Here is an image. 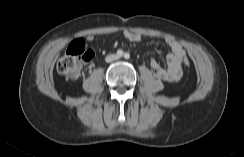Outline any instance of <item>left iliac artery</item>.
Wrapping results in <instances>:
<instances>
[{
    "instance_id": "obj_1",
    "label": "left iliac artery",
    "mask_w": 244,
    "mask_h": 157,
    "mask_svg": "<svg viewBox=\"0 0 244 157\" xmlns=\"http://www.w3.org/2000/svg\"><path fill=\"white\" fill-rule=\"evenodd\" d=\"M124 58H125V59H129V58H130V54H129V53H125V54H124Z\"/></svg>"
}]
</instances>
